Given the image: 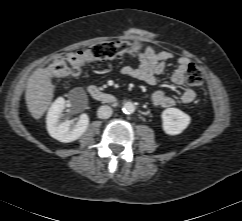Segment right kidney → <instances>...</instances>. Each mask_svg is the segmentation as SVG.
Wrapping results in <instances>:
<instances>
[{"label": "right kidney", "mask_w": 242, "mask_h": 221, "mask_svg": "<svg viewBox=\"0 0 242 221\" xmlns=\"http://www.w3.org/2000/svg\"><path fill=\"white\" fill-rule=\"evenodd\" d=\"M70 106L76 107L74 101H67ZM66 101L63 97L57 98L49 108L46 123L47 130L54 139L68 143L79 139L87 130L89 125V117L87 114H81L76 124L70 120L60 121L62 112L65 109Z\"/></svg>", "instance_id": "1"}]
</instances>
